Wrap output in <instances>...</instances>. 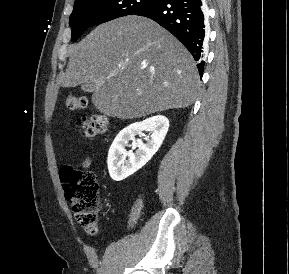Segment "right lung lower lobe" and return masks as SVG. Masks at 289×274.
Masks as SVG:
<instances>
[{
    "label": "right lung lower lobe",
    "mask_w": 289,
    "mask_h": 274,
    "mask_svg": "<svg viewBox=\"0 0 289 274\" xmlns=\"http://www.w3.org/2000/svg\"><path fill=\"white\" fill-rule=\"evenodd\" d=\"M135 15L150 18L171 32L192 54L202 76L205 64L202 0H155Z\"/></svg>",
    "instance_id": "1"
}]
</instances>
